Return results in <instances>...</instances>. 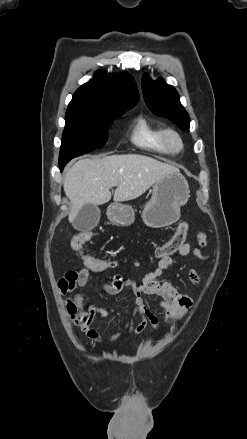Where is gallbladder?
<instances>
[{
  "mask_svg": "<svg viewBox=\"0 0 247 439\" xmlns=\"http://www.w3.org/2000/svg\"><path fill=\"white\" fill-rule=\"evenodd\" d=\"M100 220V209L96 205L85 204L73 221V227L78 231L92 230Z\"/></svg>",
  "mask_w": 247,
  "mask_h": 439,
  "instance_id": "obj_1",
  "label": "gallbladder"
}]
</instances>
